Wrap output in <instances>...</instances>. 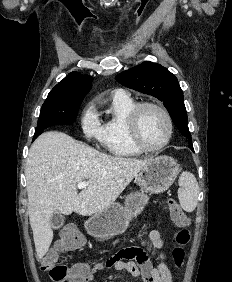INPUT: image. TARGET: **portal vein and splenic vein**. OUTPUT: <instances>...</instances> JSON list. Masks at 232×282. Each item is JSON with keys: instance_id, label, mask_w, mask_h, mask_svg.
<instances>
[{"instance_id": "18ae733b", "label": "portal vein and splenic vein", "mask_w": 232, "mask_h": 282, "mask_svg": "<svg viewBox=\"0 0 232 282\" xmlns=\"http://www.w3.org/2000/svg\"><path fill=\"white\" fill-rule=\"evenodd\" d=\"M87 186H88V182L85 181L78 182L77 184L78 189H85Z\"/></svg>"}]
</instances>
